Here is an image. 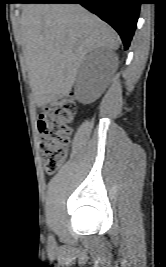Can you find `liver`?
Returning a JSON list of instances; mask_svg holds the SVG:
<instances>
[{
    "label": "liver",
    "instance_id": "obj_1",
    "mask_svg": "<svg viewBox=\"0 0 166 267\" xmlns=\"http://www.w3.org/2000/svg\"><path fill=\"white\" fill-rule=\"evenodd\" d=\"M23 48L36 106L69 95L91 50H117L119 36L79 4H27L20 19Z\"/></svg>",
    "mask_w": 166,
    "mask_h": 267
}]
</instances>
